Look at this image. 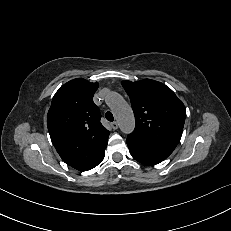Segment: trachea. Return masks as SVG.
<instances>
[{"instance_id":"1","label":"trachea","mask_w":231,"mask_h":231,"mask_svg":"<svg viewBox=\"0 0 231 231\" xmlns=\"http://www.w3.org/2000/svg\"><path fill=\"white\" fill-rule=\"evenodd\" d=\"M105 117L110 122L114 120L113 114L111 112H106Z\"/></svg>"}]
</instances>
